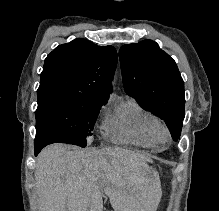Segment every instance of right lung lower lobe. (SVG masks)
Segmentation results:
<instances>
[{
	"label": "right lung lower lobe",
	"mask_w": 219,
	"mask_h": 211,
	"mask_svg": "<svg viewBox=\"0 0 219 211\" xmlns=\"http://www.w3.org/2000/svg\"><path fill=\"white\" fill-rule=\"evenodd\" d=\"M52 143H69V141L67 140H63L60 138H55V137H42L40 139L35 138V155H37L42 148H44L46 145L48 144H52Z\"/></svg>",
	"instance_id": "98d812e1"
}]
</instances>
